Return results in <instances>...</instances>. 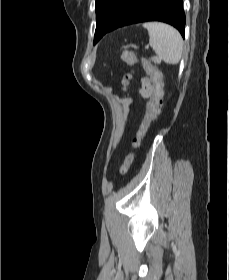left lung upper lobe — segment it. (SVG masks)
Returning <instances> with one entry per match:
<instances>
[{
  "instance_id": "left-lung-upper-lobe-1",
  "label": "left lung upper lobe",
  "mask_w": 229,
  "mask_h": 280,
  "mask_svg": "<svg viewBox=\"0 0 229 280\" xmlns=\"http://www.w3.org/2000/svg\"><path fill=\"white\" fill-rule=\"evenodd\" d=\"M129 0H96V31L94 39H101L120 18Z\"/></svg>"
}]
</instances>
